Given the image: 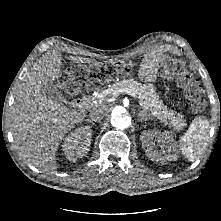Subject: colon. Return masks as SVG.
Wrapping results in <instances>:
<instances>
[{
	"mask_svg": "<svg viewBox=\"0 0 221 221\" xmlns=\"http://www.w3.org/2000/svg\"><path fill=\"white\" fill-rule=\"evenodd\" d=\"M161 72L166 77H174L178 85L183 89L184 95L190 101L196 111L205 107L203 91L198 82L182 66L166 63L162 66ZM115 69L110 66L87 67L75 66L70 68L61 77L60 81L70 94H77L89 83L105 81L113 76Z\"/></svg>",
	"mask_w": 221,
	"mask_h": 221,
	"instance_id": "5ec220e1",
	"label": "colon"
}]
</instances>
